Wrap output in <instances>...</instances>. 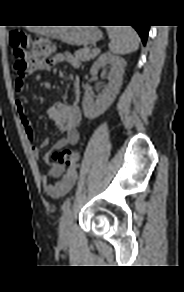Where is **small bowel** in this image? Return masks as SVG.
Here are the masks:
<instances>
[{"mask_svg": "<svg viewBox=\"0 0 184 292\" xmlns=\"http://www.w3.org/2000/svg\"><path fill=\"white\" fill-rule=\"evenodd\" d=\"M59 64H68L73 68H77L80 62L70 52L57 53L47 61L33 63L30 71H49ZM22 76L20 75L15 83L18 93L23 89ZM73 95L74 100L72 103H57L50 106L47 110L49 118L54 121L59 131L63 133V136L55 143V147L57 148L73 146L79 141L78 127L81 123L82 115L78 107L80 99V82L78 78L73 82ZM16 108L26 136L33 142L35 139L34 127L27 116L25 104L22 99L18 98L16 100ZM48 144V139L42 140L39 145L32 144L31 149L34 156L38 157L41 149ZM44 161L48 173L42 177V185L51 197L61 198L73 188L77 181V165L63 166L54 163L49 159L48 155L44 157ZM51 178L56 179V181L52 182Z\"/></svg>", "mask_w": 184, "mask_h": 292, "instance_id": "1", "label": "small bowel"}]
</instances>
